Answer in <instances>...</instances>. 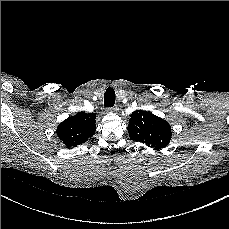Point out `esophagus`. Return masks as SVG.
<instances>
[{
  "instance_id": "1",
  "label": "esophagus",
  "mask_w": 229,
  "mask_h": 229,
  "mask_svg": "<svg viewBox=\"0 0 229 229\" xmlns=\"http://www.w3.org/2000/svg\"><path fill=\"white\" fill-rule=\"evenodd\" d=\"M107 111L108 112H118L119 111V108H118V106H114V107H109V108H107Z\"/></svg>"
}]
</instances>
